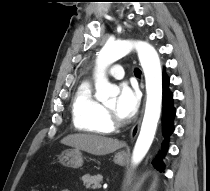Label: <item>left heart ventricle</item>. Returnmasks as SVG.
<instances>
[{
  "instance_id": "1",
  "label": "left heart ventricle",
  "mask_w": 210,
  "mask_h": 191,
  "mask_svg": "<svg viewBox=\"0 0 210 191\" xmlns=\"http://www.w3.org/2000/svg\"><path fill=\"white\" fill-rule=\"evenodd\" d=\"M115 106H116L115 101H113V102L107 104V107H109V108H111V109H113V110H115Z\"/></svg>"
}]
</instances>
